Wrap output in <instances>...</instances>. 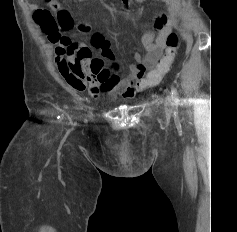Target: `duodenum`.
I'll return each mask as SVG.
<instances>
[{
  "mask_svg": "<svg viewBox=\"0 0 237 232\" xmlns=\"http://www.w3.org/2000/svg\"><path fill=\"white\" fill-rule=\"evenodd\" d=\"M124 4H127L128 3V0H122Z\"/></svg>",
  "mask_w": 237,
  "mask_h": 232,
  "instance_id": "obj_1",
  "label": "duodenum"
}]
</instances>
